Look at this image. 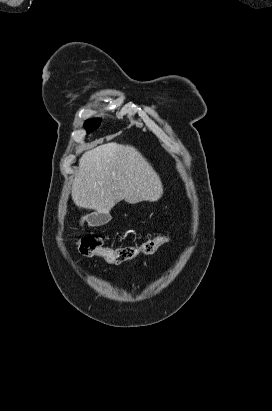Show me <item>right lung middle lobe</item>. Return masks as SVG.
<instances>
[{
  "instance_id": "1",
  "label": "right lung middle lobe",
  "mask_w": 272,
  "mask_h": 411,
  "mask_svg": "<svg viewBox=\"0 0 272 411\" xmlns=\"http://www.w3.org/2000/svg\"><path fill=\"white\" fill-rule=\"evenodd\" d=\"M100 119H89L85 122L84 126L88 131H94L100 125Z\"/></svg>"
}]
</instances>
